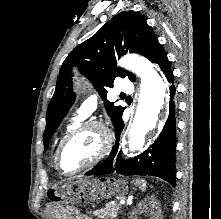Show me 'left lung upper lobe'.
Segmentation results:
<instances>
[{"label": "left lung upper lobe", "mask_w": 221, "mask_h": 219, "mask_svg": "<svg viewBox=\"0 0 221 219\" xmlns=\"http://www.w3.org/2000/svg\"><path fill=\"white\" fill-rule=\"evenodd\" d=\"M159 46L160 43L145 18L130 10L118 13L95 35L74 48L61 66L56 89L47 109L44 149H47L48 141L74 103L70 70L73 66H78L100 93L116 129L122 120L124 108L114 106L106 99L105 87H112L117 76H128L130 81H135L132 73L117 68L116 59L130 51L151 60Z\"/></svg>", "instance_id": "left-lung-upper-lobe-1"}]
</instances>
